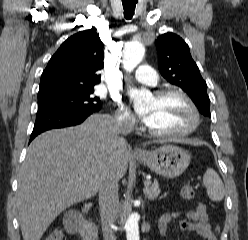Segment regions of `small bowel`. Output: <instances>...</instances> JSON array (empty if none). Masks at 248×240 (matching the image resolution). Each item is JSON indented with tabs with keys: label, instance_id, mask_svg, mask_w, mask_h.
<instances>
[{
	"label": "small bowel",
	"instance_id": "obj_1",
	"mask_svg": "<svg viewBox=\"0 0 248 240\" xmlns=\"http://www.w3.org/2000/svg\"><path fill=\"white\" fill-rule=\"evenodd\" d=\"M181 216L185 219L179 220L177 226L181 231L192 232L205 240H218V228L210 223L206 207L197 204L193 209L175 210L162 215L158 221V228L163 236L169 233V223Z\"/></svg>",
	"mask_w": 248,
	"mask_h": 240
}]
</instances>
